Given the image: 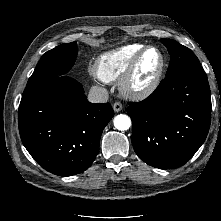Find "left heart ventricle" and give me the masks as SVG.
<instances>
[{"label": "left heart ventricle", "mask_w": 221, "mask_h": 221, "mask_svg": "<svg viewBox=\"0 0 221 221\" xmlns=\"http://www.w3.org/2000/svg\"><path fill=\"white\" fill-rule=\"evenodd\" d=\"M159 65V55L156 50H149L145 53L139 63L135 76V82L138 85L147 83L156 72Z\"/></svg>", "instance_id": "obj_1"}]
</instances>
